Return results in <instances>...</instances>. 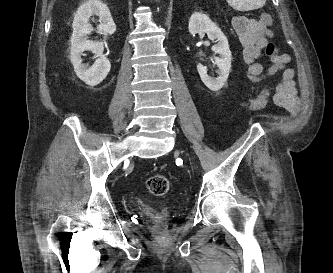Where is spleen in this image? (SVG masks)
Masks as SVG:
<instances>
[{"label": "spleen", "instance_id": "spleen-1", "mask_svg": "<svg viewBox=\"0 0 333 273\" xmlns=\"http://www.w3.org/2000/svg\"><path fill=\"white\" fill-rule=\"evenodd\" d=\"M227 2L237 11H250L263 7L266 0H227Z\"/></svg>", "mask_w": 333, "mask_h": 273}]
</instances>
